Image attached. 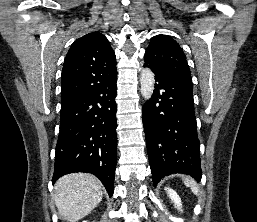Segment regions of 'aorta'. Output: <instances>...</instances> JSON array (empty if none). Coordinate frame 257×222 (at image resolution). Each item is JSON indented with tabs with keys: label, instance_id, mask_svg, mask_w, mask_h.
<instances>
[{
	"label": "aorta",
	"instance_id": "obj_1",
	"mask_svg": "<svg viewBox=\"0 0 257 222\" xmlns=\"http://www.w3.org/2000/svg\"><path fill=\"white\" fill-rule=\"evenodd\" d=\"M154 74L150 68H144L140 75V91L145 100H149L152 97L154 90Z\"/></svg>",
	"mask_w": 257,
	"mask_h": 222
}]
</instances>
